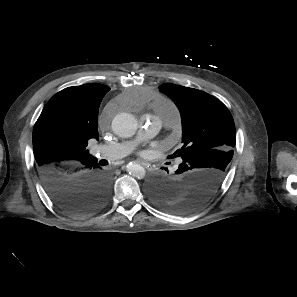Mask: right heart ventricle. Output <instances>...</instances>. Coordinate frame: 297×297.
Here are the masks:
<instances>
[{
    "label": "right heart ventricle",
    "instance_id": "1",
    "mask_svg": "<svg viewBox=\"0 0 297 297\" xmlns=\"http://www.w3.org/2000/svg\"><path fill=\"white\" fill-rule=\"evenodd\" d=\"M161 106H162L161 104H160V105H157V108H158V109H160V108H161Z\"/></svg>",
    "mask_w": 297,
    "mask_h": 297
}]
</instances>
